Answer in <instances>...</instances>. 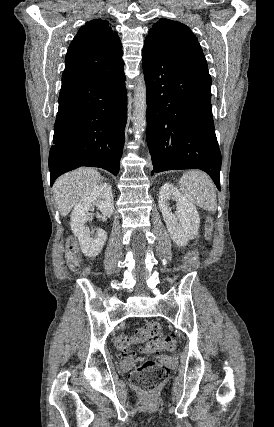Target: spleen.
Wrapping results in <instances>:
<instances>
[{
	"mask_svg": "<svg viewBox=\"0 0 274 427\" xmlns=\"http://www.w3.org/2000/svg\"><path fill=\"white\" fill-rule=\"evenodd\" d=\"M184 198L196 204L202 210L215 212L217 208L215 186L207 174L199 170L185 172L180 180Z\"/></svg>",
	"mask_w": 274,
	"mask_h": 427,
	"instance_id": "obj_1",
	"label": "spleen"
}]
</instances>
